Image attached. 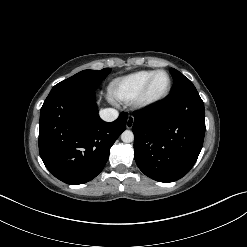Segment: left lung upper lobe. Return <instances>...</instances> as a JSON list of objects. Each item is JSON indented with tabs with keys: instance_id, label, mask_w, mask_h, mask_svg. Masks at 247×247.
<instances>
[{
	"instance_id": "obj_1",
	"label": "left lung upper lobe",
	"mask_w": 247,
	"mask_h": 247,
	"mask_svg": "<svg viewBox=\"0 0 247 247\" xmlns=\"http://www.w3.org/2000/svg\"><path fill=\"white\" fill-rule=\"evenodd\" d=\"M170 73L174 81V87L171 95L197 92L193 83L178 70L171 68Z\"/></svg>"
}]
</instances>
